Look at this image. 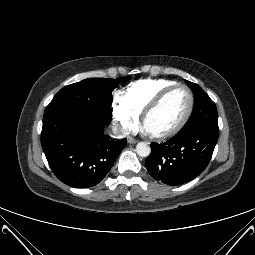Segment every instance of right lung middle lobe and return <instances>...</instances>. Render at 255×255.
I'll use <instances>...</instances> for the list:
<instances>
[{"label": "right lung middle lobe", "mask_w": 255, "mask_h": 255, "mask_svg": "<svg viewBox=\"0 0 255 255\" xmlns=\"http://www.w3.org/2000/svg\"><path fill=\"white\" fill-rule=\"evenodd\" d=\"M119 82L108 78H88L65 86L46 107L45 113L61 110L78 111L91 115L104 124L112 119V91Z\"/></svg>", "instance_id": "right-lung-middle-lobe-1"}]
</instances>
